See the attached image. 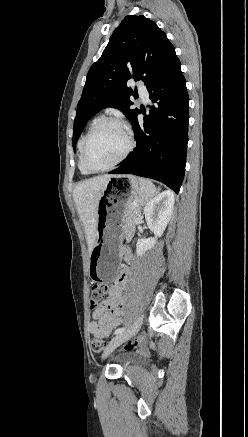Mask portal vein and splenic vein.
Instances as JSON below:
<instances>
[{
    "instance_id": "18ae733b",
    "label": "portal vein and splenic vein",
    "mask_w": 248,
    "mask_h": 437,
    "mask_svg": "<svg viewBox=\"0 0 248 437\" xmlns=\"http://www.w3.org/2000/svg\"><path fill=\"white\" fill-rule=\"evenodd\" d=\"M132 205H133V206H138V205H137V203H135V202H134V203H132Z\"/></svg>"
}]
</instances>
